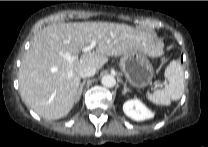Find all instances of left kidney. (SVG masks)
Masks as SVG:
<instances>
[{
	"label": "left kidney",
	"mask_w": 208,
	"mask_h": 147,
	"mask_svg": "<svg viewBox=\"0 0 208 147\" xmlns=\"http://www.w3.org/2000/svg\"><path fill=\"white\" fill-rule=\"evenodd\" d=\"M123 111L135 121H144L154 117V113L138 99L126 101L123 104Z\"/></svg>",
	"instance_id": "1"
}]
</instances>
